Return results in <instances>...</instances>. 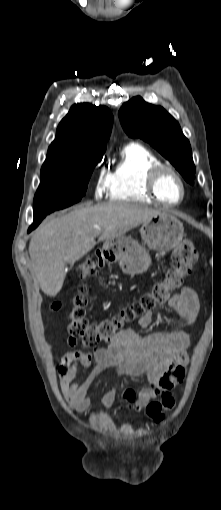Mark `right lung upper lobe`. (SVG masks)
I'll list each match as a JSON object with an SVG mask.
<instances>
[{
  "instance_id": "obj_1",
  "label": "right lung upper lobe",
  "mask_w": 221,
  "mask_h": 510,
  "mask_svg": "<svg viewBox=\"0 0 221 510\" xmlns=\"http://www.w3.org/2000/svg\"><path fill=\"white\" fill-rule=\"evenodd\" d=\"M112 122L113 116L105 106L89 103L73 105L57 128L46 160L106 149Z\"/></svg>"
}]
</instances>
